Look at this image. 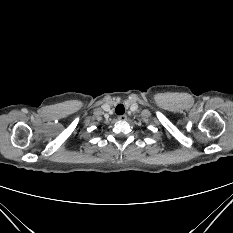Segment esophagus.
<instances>
[{"label": "esophagus", "mask_w": 233, "mask_h": 233, "mask_svg": "<svg viewBox=\"0 0 233 233\" xmlns=\"http://www.w3.org/2000/svg\"><path fill=\"white\" fill-rule=\"evenodd\" d=\"M118 119H119L120 121H125V120L127 119V115H125V114L119 115V116H118Z\"/></svg>", "instance_id": "obj_1"}]
</instances>
